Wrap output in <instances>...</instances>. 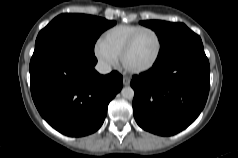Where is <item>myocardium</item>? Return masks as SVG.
Here are the masks:
<instances>
[{
    "label": "myocardium",
    "mask_w": 238,
    "mask_h": 158,
    "mask_svg": "<svg viewBox=\"0 0 238 158\" xmlns=\"http://www.w3.org/2000/svg\"><path fill=\"white\" fill-rule=\"evenodd\" d=\"M144 32H150L156 37V40H157V43H158L157 53H156L154 59L149 64H147L146 66H143V67H140V68L129 67L126 63L127 55L129 54V52L133 48L137 38ZM162 49H163V43H162V39H161L159 33L156 30L152 29V28L143 27V28L139 29L138 31H136L129 38L126 45L124 46V48H123V50L120 54L121 64L127 72H130V73H133V74H140V73L147 72V71L151 70L157 64V62L160 59V56L162 54Z\"/></svg>",
    "instance_id": "obj_1"
}]
</instances>
